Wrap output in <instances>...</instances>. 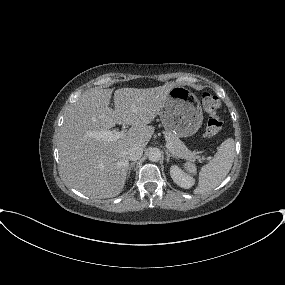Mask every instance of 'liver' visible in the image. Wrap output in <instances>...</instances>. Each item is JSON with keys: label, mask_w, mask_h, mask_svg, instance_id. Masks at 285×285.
<instances>
[{"label": "liver", "mask_w": 285, "mask_h": 285, "mask_svg": "<svg viewBox=\"0 0 285 285\" xmlns=\"http://www.w3.org/2000/svg\"><path fill=\"white\" fill-rule=\"evenodd\" d=\"M174 83L154 88H120L114 92L115 110L109 107L112 89H90L70 107L59 136V162L63 177L84 195L102 199L119 195L129 168L127 151L144 148ZM116 124L130 129L116 141H103L93 134Z\"/></svg>", "instance_id": "6515ba94"}]
</instances>
